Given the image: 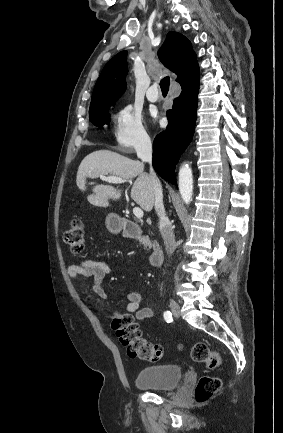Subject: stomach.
Returning a JSON list of instances; mask_svg holds the SVG:
<instances>
[{
	"label": "stomach",
	"instance_id": "stomach-1",
	"mask_svg": "<svg viewBox=\"0 0 283 433\" xmlns=\"http://www.w3.org/2000/svg\"><path fill=\"white\" fill-rule=\"evenodd\" d=\"M109 219H111V233H120L123 229V221L124 219H121V217H118V214H115V212H111V214H108Z\"/></svg>",
	"mask_w": 283,
	"mask_h": 433
}]
</instances>
